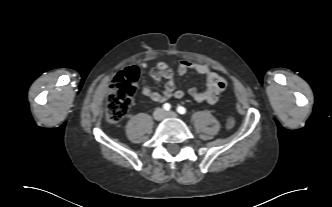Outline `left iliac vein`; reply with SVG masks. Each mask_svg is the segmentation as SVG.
I'll return each instance as SVG.
<instances>
[{
    "instance_id": "4c4485c4",
    "label": "left iliac vein",
    "mask_w": 332,
    "mask_h": 207,
    "mask_svg": "<svg viewBox=\"0 0 332 207\" xmlns=\"http://www.w3.org/2000/svg\"><path fill=\"white\" fill-rule=\"evenodd\" d=\"M165 115L167 117H172V118H177L178 117V115L173 111H168V112L165 113Z\"/></svg>"
}]
</instances>
